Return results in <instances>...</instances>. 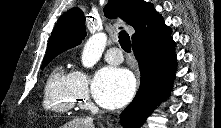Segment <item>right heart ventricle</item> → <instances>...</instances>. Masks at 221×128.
<instances>
[{"label":"right heart ventricle","mask_w":221,"mask_h":128,"mask_svg":"<svg viewBox=\"0 0 221 128\" xmlns=\"http://www.w3.org/2000/svg\"><path fill=\"white\" fill-rule=\"evenodd\" d=\"M77 100L72 72L67 71L63 64L56 65L45 84L44 108L55 114H67L74 110Z\"/></svg>","instance_id":"1"}]
</instances>
